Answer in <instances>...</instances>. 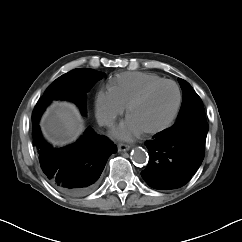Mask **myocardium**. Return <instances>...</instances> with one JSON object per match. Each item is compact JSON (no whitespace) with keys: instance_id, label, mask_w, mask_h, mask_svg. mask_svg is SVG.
<instances>
[{"instance_id":"1","label":"myocardium","mask_w":242,"mask_h":242,"mask_svg":"<svg viewBox=\"0 0 242 242\" xmlns=\"http://www.w3.org/2000/svg\"><path fill=\"white\" fill-rule=\"evenodd\" d=\"M164 84H170L172 86L175 87L176 91H177V102L175 105V108L170 116V118L161 126L154 128V129H150V130H144L142 131V133L144 135L147 136H152V135H156L159 134L165 130H167L168 128H170L174 122L176 121L180 108H181V104H182V92L180 87L178 86V84L172 80H167V79H163L159 82L153 83L151 85H149L148 87H146L140 94H138L134 99H132V101L128 104L127 106V115L128 117H130V114L132 112V110L139 105L140 103H142L144 100H146V98L159 86L164 85Z\"/></svg>"}]
</instances>
